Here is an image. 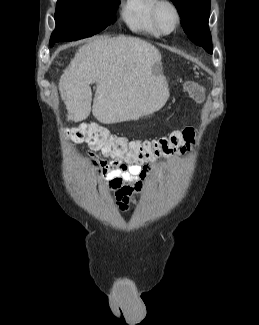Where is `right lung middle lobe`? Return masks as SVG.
I'll return each mask as SVG.
<instances>
[{
  "instance_id": "1",
  "label": "right lung middle lobe",
  "mask_w": 259,
  "mask_h": 325,
  "mask_svg": "<svg viewBox=\"0 0 259 325\" xmlns=\"http://www.w3.org/2000/svg\"><path fill=\"white\" fill-rule=\"evenodd\" d=\"M120 0H58L56 28L50 38L55 43L92 36L115 22V5Z\"/></svg>"
}]
</instances>
